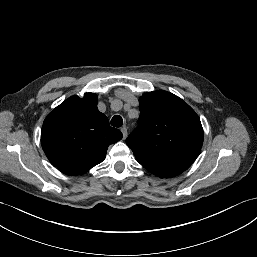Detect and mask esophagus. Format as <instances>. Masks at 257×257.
<instances>
[{"instance_id": "34e87169", "label": "esophagus", "mask_w": 257, "mask_h": 257, "mask_svg": "<svg viewBox=\"0 0 257 257\" xmlns=\"http://www.w3.org/2000/svg\"><path fill=\"white\" fill-rule=\"evenodd\" d=\"M121 132H122V134H123V139H126L127 134H128L127 128H126V127L121 128Z\"/></svg>"}]
</instances>
